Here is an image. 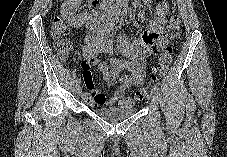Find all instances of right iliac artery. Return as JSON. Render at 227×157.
<instances>
[{
	"label": "right iliac artery",
	"instance_id": "82829eb1",
	"mask_svg": "<svg viewBox=\"0 0 227 157\" xmlns=\"http://www.w3.org/2000/svg\"><path fill=\"white\" fill-rule=\"evenodd\" d=\"M75 82H76L77 84H79V83H81V79H80V78H77V79L75 80Z\"/></svg>",
	"mask_w": 227,
	"mask_h": 157
}]
</instances>
